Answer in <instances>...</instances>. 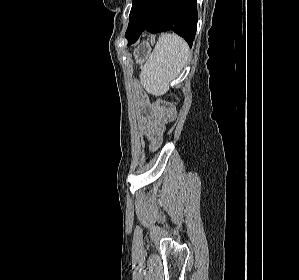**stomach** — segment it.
<instances>
[{
	"label": "stomach",
	"instance_id": "1",
	"mask_svg": "<svg viewBox=\"0 0 299 280\" xmlns=\"http://www.w3.org/2000/svg\"><path fill=\"white\" fill-rule=\"evenodd\" d=\"M151 55V46L148 42L141 43L135 50L134 56L136 63L142 65Z\"/></svg>",
	"mask_w": 299,
	"mask_h": 280
}]
</instances>
